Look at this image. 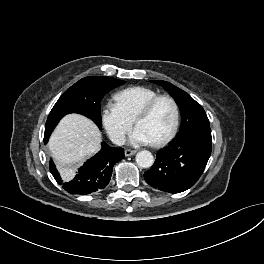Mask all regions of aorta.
I'll use <instances>...</instances> for the list:
<instances>
[{"mask_svg":"<svg viewBox=\"0 0 264 264\" xmlns=\"http://www.w3.org/2000/svg\"><path fill=\"white\" fill-rule=\"evenodd\" d=\"M154 158L151 152L147 150L140 151L136 154V163L142 168H149L152 166Z\"/></svg>","mask_w":264,"mask_h":264,"instance_id":"obj_1","label":"aorta"}]
</instances>
